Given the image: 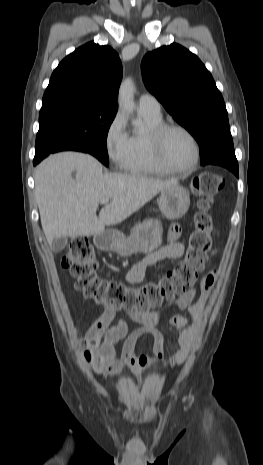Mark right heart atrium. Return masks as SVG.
Returning a JSON list of instances; mask_svg holds the SVG:
<instances>
[{
    "instance_id": "d8ad5b80",
    "label": "right heart atrium",
    "mask_w": 263,
    "mask_h": 465,
    "mask_svg": "<svg viewBox=\"0 0 263 465\" xmlns=\"http://www.w3.org/2000/svg\"><path fill=\"white\" fill-rule=\"evenodd\" d=\"M104 149L108 159L120 169L125 168L129 151V135L121 113H116L104 134Z\"/></svg>"
}]
</instances>
